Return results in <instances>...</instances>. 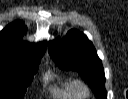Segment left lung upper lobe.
Wrapping results in <instances>:
<instances>
[{
  "label": "left lung upper lobe",
  "instance_id": "obj_1",
  "mask_svg": "<svg viewBox=\"0 0 128 99\" xmlns=\"http://www.w3.org/2000/svg\"><path fill=\"white\" fill-rule=\"evenodd\" d=\"M48 49L61 68L77 71L88 82L97 99H107L102 62L82 32L72 29L63 40L50 41Z\"/></svg>",
  "mask_w": 128,
  "mask_h": 99
}]
</instances>
